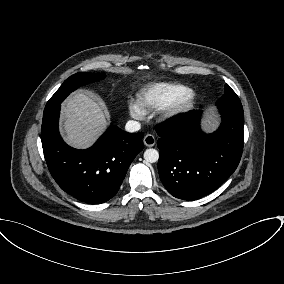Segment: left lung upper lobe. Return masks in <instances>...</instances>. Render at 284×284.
Returning <instances> with one entry per match:
<instances>
[{"instance_id": "obj_1", "label": "left lung upper lobe", "mask_w": 284, "mask_h": 284, "mask_svg": "<svg viewBox=\"0 0 284 284\" xmlns=\"http://www.w3.org/2000/svg\"><path fill=\"white\" fill-rule=\"evenodd\" d=\"M224 91V95L216 102L217 105H226L236 108H242L240 99L238 98L236 93L229 87V85H225Z\"/></svg>"}]
</instances>
